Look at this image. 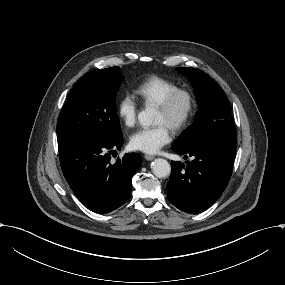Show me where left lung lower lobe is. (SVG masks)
I'll list each match as a JSON object with an SVG mask.
<instances>
[{
	"label": "left lung lower lobe",
	"instance_id": "left-lung-lower-lobe-1",
	"mask_svg": "<svg viewBox=\"0 0 285 285\" xmlns=\"http://www.w3.org/2000/svg\"><path fill=\"white\" fill-rule=\"evenodd\" d=\"M236 148L235 134H221L203 141L186 152L194 160L171 162L167 197L178 209L191 214L209 208L225 190L232 174Z\"/></svg>",
	"mask_w": 285,
	"mask_h": 285
}]
</instances>
